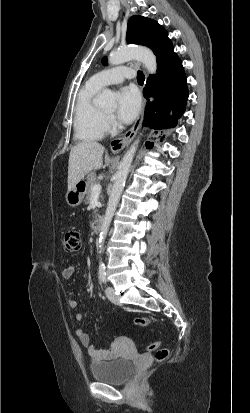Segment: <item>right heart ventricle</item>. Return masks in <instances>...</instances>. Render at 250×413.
Wrapping results in <instances>:
<instances>
[{"mask_svg": "<svg viewBox=\"0 0 250 413\" xmlns=\"http://www.w3.org/2000/svg\"><path fill=\"white\" fill-rule=\"evenodd\" d=\"M101 88L89 80L78 94L74 116V136L79 142L100 140L106 132V114L94 103V98Z\"/></svg>", "mask_w": 250, "mask_h": 413, "instance_id": "right-heart-ventricle-1", "label": "right heart ventricle"}]
</instances>
